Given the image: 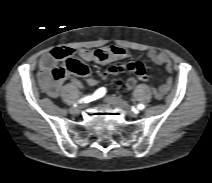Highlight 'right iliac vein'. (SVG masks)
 Returning <instances> with one entry per match:
<instances>
[{"label":"right iliac vein","mask_w":212,"mask_h":183,"mask_svg":"<svg viewBox=\"0 0 212 183\" xmlns=\"http://www.w3.org/2000/svg\"><path fill=\"white\" fill-rule=\"evenodd\" d=\"M82 107H83V106L71 108V109H70L71 114H73V115H78V114H80Z\"/></svg>","instance_id":"right-iliac-vein-1"}]
</instances>
